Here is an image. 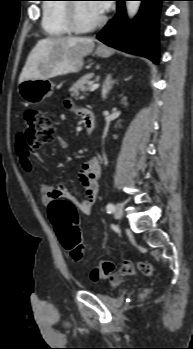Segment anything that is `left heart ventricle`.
Masks as SVG:
<instances>
[{"label": "left heart ventricle", "instance_id": "b2bd125f", "mask_svg": "<svg viewBox=\"0 0 193 349\" xmlns=\"http://www.w3.org/2000/svg\"><path fill=\"white\" fill-rule=\"evenodd\" d=\"M98 15L90 6L89 3H78V18L82 25H87L99 18Z\"/></svg>", "mask_w": 193, "mask_h": 349}]
</instances>
